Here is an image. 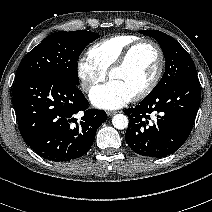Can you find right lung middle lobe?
<instances>
[{"label": "right lung middle lobe", "mask_w": 212, "mask_h": 212, "mask_svg": "<svg viewBox=\"0 0 212 212\" xmlns=\"http://www.w3.org/2000/svg\"><path fill=\"white\" fill-rule=\"evenodd\" d=\"M99 38L91 31H60L33 48L17 68L15 80L34 75L56 76L77 86V60L83 49Z\"/></svg>", "instance_id": "obj_1"}]
</instances>
